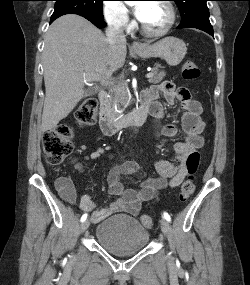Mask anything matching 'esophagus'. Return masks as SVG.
Here are the masks:
<instances>
[{
	"instance_id": "esophagus-1",
	"label": "esophagus",
	"mask_w": 250,
	"mask_h": 285,
	"mask_svg": "<svg viewBox=\"0 0 250 285\" xmlns=\"http://www.w3.org/2000/svg\"><path fill=\"white\" fill-rule=\"evenodd\" d=\"M132 48L137 50V49H142L143 46H142L141 43L135 41V42L132 43Z\"/></svg>"
}]
</instances>
